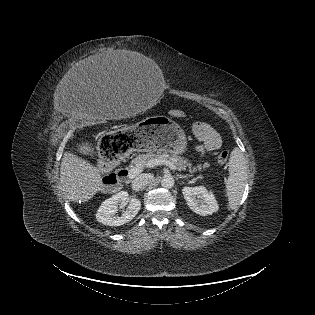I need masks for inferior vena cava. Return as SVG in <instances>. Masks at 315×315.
Wrapping results in <instances>:
<instances>
[{
    "mask_svg": "<svg viewBox=\"0 0 315 315\" xmlns=\"http://www.w3.org/2000/svg\"><path fill=\"white\" fill-rule=\"evenodd\" d=\"M152 181L150 174H141L132 181V189L134 191H142Z\"/></svg>",
    "mask_w": 315,
    "mask_h": 315,
    "instance_id": "obj_1",
    "label": "inferior vena cava"
}]
</instances>
